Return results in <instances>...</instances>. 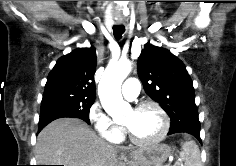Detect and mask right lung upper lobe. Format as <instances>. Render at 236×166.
Instances as JSON below:
<instances>
[{"mask_svg":"<svg viewBox=\"0 0 236 166\" xmlns=\"http://www.w3.org/2000/svg\"><path fill=\"white\" fill-rule=\"evenodd\" d=\"M96 64V50L92 46L62 56L48 75L44 94L65 93L95 98Z\"/></svg>","mask_w":236,"mask_h":166,"instance_id":"1","label":"right lung upper lobe"}]
</instances>
